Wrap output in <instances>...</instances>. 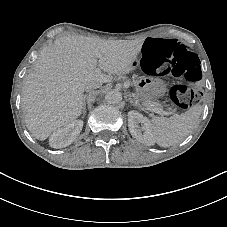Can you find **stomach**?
Wrapping results in <instances>:
<instances>
[{"mask_svg":"<svg viewBox=\"0 0 227 227\" xmlns=\"http://www.w3.org/2000/svg\"><path fill=\"white\" fill-rule=\"evenodd\" d=\"M154 78L152 76L140 77L136 82V93L141 99H152L155 93L152 91Z\"/></svg>","mask_w":227,"mask_h":227,"instance_id":"obj_1","label":"stomach"}]
</instances>
